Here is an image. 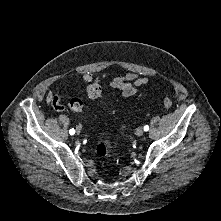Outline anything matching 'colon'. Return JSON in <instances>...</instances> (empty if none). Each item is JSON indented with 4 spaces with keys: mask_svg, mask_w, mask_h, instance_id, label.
<instances>
[{
    "mask_svg": "<svg viewBox=\"0 0 221 221\" xmlns=\"http://www.w3.org/2000/svg\"><path fill=\"white\" fill-rule=\"evenodd\" d=\"M86 93L90 98H99L102 94V90L98 84L89 85L86 88ZM162 104L165 108L172 106V99L165 96L162 99ZM69 107L75 112H81L83 110V103L78 98H73L69 102ZM95 153L101 159H107L110 156V145L108 142L101 141L95 146Z\"/></svg>",
    "mask_w": 221,
    "mask_h": 221,
    "instance_id": "obj_1",
    "label": "colon"
}]
</instances>
